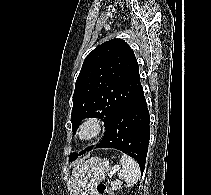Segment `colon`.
Segmentation results:
<instances>
[{"mask_svg": "<svg viewBox=\"0 0 211 195\" xmlns=\"http://www.w3.org/2000/svg\"><path fill=\"white\" fill-rule=\"evenodd\" d=\"M96 193L98 195H113L112 191L105 183H98L96 185Z\"/></svg>", "mask_w": 211, "mask_h": 195, "instance_id": "5ec220e1", "label": "colon"}]
</instances>
